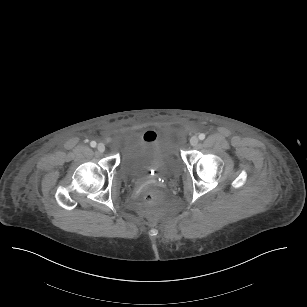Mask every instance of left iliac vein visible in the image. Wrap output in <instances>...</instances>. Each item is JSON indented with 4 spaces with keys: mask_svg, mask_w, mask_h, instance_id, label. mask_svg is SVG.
<instances>
[{
    "mask_svg": "<svg viewBox=\"0 0 307 307\" xmlns=\"http://www.w3.org/2000/svg\"><path fill=\"white\" fill-rule=\"evenodd\" d=\"M198 142H199V140H198V138L196 136L191 137L190 144L192 146H196L198 144Z\"/></svg>",
    "mask_w": 307,
    "mask_h": 307,
    "instance_id": "1",
    "label": "left iliac vein"
}]
</instances>
